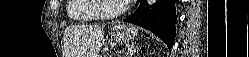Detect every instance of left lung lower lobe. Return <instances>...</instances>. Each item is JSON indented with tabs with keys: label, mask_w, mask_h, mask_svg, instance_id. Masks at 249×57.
I'll use <instances>...</instances> for the list:
<instances>
[{
	"label": "left lung lower lobe",
	"mask_w": 249,
	"mask_h": 57,
	"mask_svg": "<svg viewBox=\"0 0 249 57\" xmlns=\"http://www.w3.org/2000/svg\"><path fill=\"white\" fill-rule=\"evenodd\" d=\"M177 0H158L148 7L146 0H141L138 9L125 22L133 23L152 31L160 37L169 48L174 44L177 20L174 3Z\"/></svg>",
	"instance_id": "obj_1"
}]
</instances>
